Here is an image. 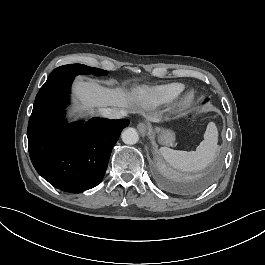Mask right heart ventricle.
<instances>
[{
    "label": "right heart ventricle",
    "mask_w": 265,
    "mask_h": 265,
    "mask_svg": "<svg viewBox=\"0 0 265 265\" xmlns=\"http://www.w3.org/2000/svg\"><path fill=\"white\" fill-rule=\"evenodd\" d=\"M185 87L186 84L183 81H171L152 86L137 87L132 91V95L134 101L141 107H155L173 101Z\"/></svg>",
    "instance_id": "e07e8e85"
}]
</instances>
